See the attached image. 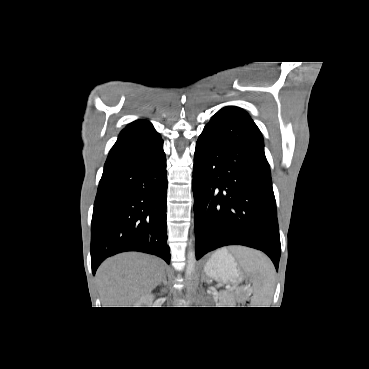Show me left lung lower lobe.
Segmentation results:
<instances>
[{"label": "left lung lower lobe", "instance_id": "obj_1", "mask_svg": "<svg viewBox=\"0 0 369 369\" xmlns=\"http://www.w3.org/2000/svg\"><path fill=\"white\" fill-rule=\"evenodd\" d=\"M195 249L227 245L266 253L278 270L281 245L270 167L260 130L242 110H219L194 154Z\"/></svg>", "mask_w": 369, "mask_h": 369}]
</instances>
